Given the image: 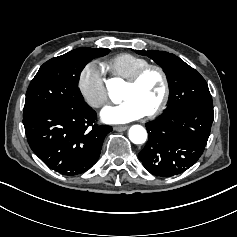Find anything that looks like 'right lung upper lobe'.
<instances>
[{
  "instance_id": "right-lung-upper-lobe-1",
  "label": "right lung upper lobe",
  "mask_w": 237,
  "mask_h": 237,
  "mask_svg": "<svg viewBox=\"0 0 237 237\" xmlns=\"http://www.w3.org/2000/svg\"><path fill=\"white\" fill-rule=\"evenodd\" d=\"M99 50H108V49H99Z\"/></svg>"
}]
</instances>
